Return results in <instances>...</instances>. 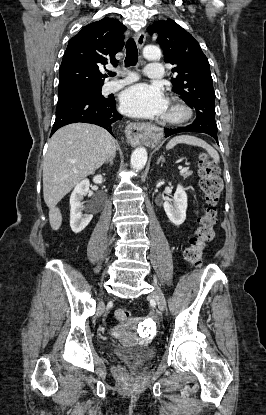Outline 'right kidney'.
I'll use <instances>...</instances> for the list:
<instances>
[{
  "mask_svg": "<svg viewBox=\"0 0 266 415\" xmlns=\"http://www.w3.org/2000/svg\"><path fill=\"white\" fill-rule=\"evenodd\" d=\"M93 182L96 184H101L103 182V177L97 175L93 178ZM90 182L88 179H84L79 182L71 196H70V226L73 232H81L92 220L93 215H82V210L84 208L83 203L81 202L83 197L87 195L89 191Z\"/></svg>",
  "mask_w": 266,
  "mask_h": 415,
  "instance_id": "1",
  "label": "right kidney"
}]
</instances>
